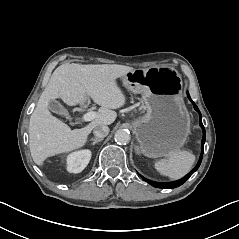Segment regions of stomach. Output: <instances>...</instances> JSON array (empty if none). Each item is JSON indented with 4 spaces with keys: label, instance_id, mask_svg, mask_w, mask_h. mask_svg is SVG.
<instances>
[{
    "label": "stomach",
    "instance_id": "0dacf381",
    "mask_svg": "<svg viewBox=\"0 0 239 239\" xmlns=\"http://www.w3.org/2000/svg\"><path fill=\"white\" fill-rule=\"evenodd\" d=\"M123 86L142 94L147 113L133 122L140 151L149 158L179 152L191 132V121L182 97L180 75L161 70L135 69L121 77Z\"/></svg>",
    "mask_w": 239,
    "mask_h": 239
}]
</instances>
